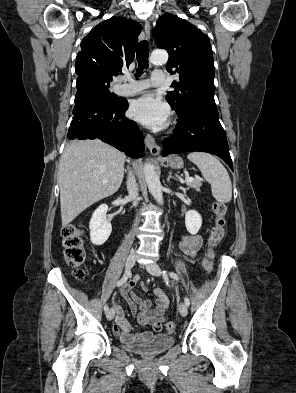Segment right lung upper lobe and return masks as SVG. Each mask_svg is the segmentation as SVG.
Here are the masks:
<instances>
[{"mask_svg": "<svg viewBox=\"0 0 296 393\" xmlns=\"http://www.w3.org/2000/svg\"><path fill=\"white\" fill-rule=\"evenodd\" d=\"M142 26L136 21L112 17L94 27L81 42L75 62L78 77L111 82L123 66L129 67Z\"/></svg>", "mask_w": 296, "mask_h": 393, "instance_id": "cb5924a9", "label": "right lung upper lobe"}]
</instances>
